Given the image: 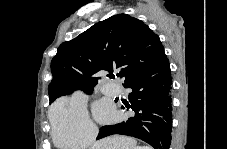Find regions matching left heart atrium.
<instances>
[{"mask_svg":"<svg viewBox=\"0 0 227 149\" xmlns=\"http://www.w3.org/2000/svg\"><path fill=\"white\" fill-rule=\"evenodd\" d=\"M95 114H96V117L103 122L111 120L114 115L111 106L103 102L99 103L96 106Z\"/></svg>","mask_w":227,"mask_h":149,"instance_id":"obj_1","label":"left heart atrium"}]
</instances>
